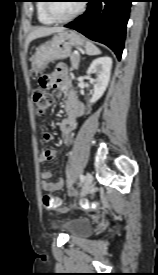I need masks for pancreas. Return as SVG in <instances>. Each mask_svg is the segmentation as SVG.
Instances as JSON below:
<instances>
[{
	"label": "pancreas",
	"instance_id": "pancreas-1",
	"mask_svg": "<svg viewBox=\"0 0 158 275\" xmlns=\"http://www.w3.org/2000/svg\"><path fill=\"white\" fill-rule=\"evenodd\" d=\"M70 61H71V66L73 69H78L79 62H80V56L72 53L70 55Z\"/></svg>",
	"mask_w": 158,
	"mask_h": 275
}]
</instances>
